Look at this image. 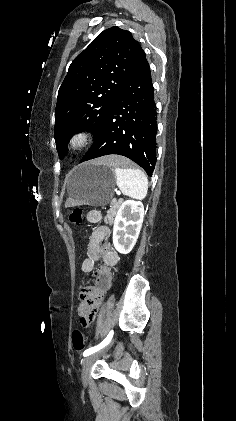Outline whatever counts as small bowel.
<instances>
[{
  "label": "small bowel",
  "instance_id": "obj_1",
  "mask_svg": "<svg viewBox=\"0 0 236 421\" xmlns=\"http://www.w3.org/2000/svg\"><path fill=\"white\" fill-rule=\"evenodd\" d=\"M87 220L92 223V224H99L101 221V213L99 211L96 210H92L88 213L87 215ZM109 234V229L105 226H98L97 229L94 232V235L92 236V241H91V246L90 249L91 251H95L96 249V244L99 240L105 238L107 235ZM88 290L86 288H83L81 290V298H83V296L85 295V293ZM78 314L80 316H83V309L82 308H78Z\"/></svg>",
  "mask_w": 236,
  "mask_h": 421
}]
</instances>
